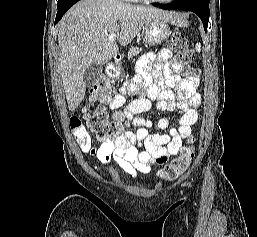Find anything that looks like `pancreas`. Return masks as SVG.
I'll use <instances>...</instances> for the list:
<instances>
[{
	"mask_svg": "<svg viewBox=\"0 0 257 237\" xmlns=\"http://www.w3.org/2000/svg\"><path fill=\"white\" fill-rule=\"evenodd\" d=\"M142 51V48L131 47L128 52V58H132L133 56L138 55Z\"/></svg>",
	"mask_w": 257,
	"mask_h": 237,
	"instance_id": "pancreas-1",
	"label": "pancreas"
}]
</instances>
